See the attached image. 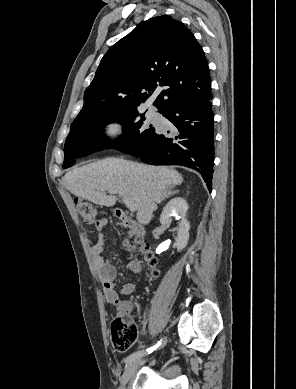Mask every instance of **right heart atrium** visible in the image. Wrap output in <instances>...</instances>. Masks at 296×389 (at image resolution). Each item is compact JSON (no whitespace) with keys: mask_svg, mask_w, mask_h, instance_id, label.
<instances>
[{"mask_svg":"<svg viewBox=\"0 0 296 389\" xmlns=\"http://www.w3.org/2000/svg\"><path fill=\"white\" fill-rule=\"evenodd\" d=\"M119 132V124L115 121H111L107 123L103 128V134L106 137L113 138L115 137Z\"/></svg>","mask_w":296,"mask_h":389,"instance_id":"obj_1","label":"right heart atrium"}]
</instances>
